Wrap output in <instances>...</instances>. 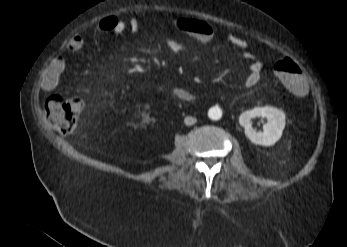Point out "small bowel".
<instances>
[{
  "mask_svg": "<svg viewBox=\"0 0 347 247\" xmlns=\"http://www.w3.org/2000/svg\"><path fill=\"white\" fill-rule=\"evenodd\" d=\"M172 24L175 28L188 34L203 46H210L215 40L213 28L204 20L182 18L174 20ZM139 28L140 22L137 19L121 20L115 16L105 17L98 23V30L100 32L111 33L113 35H119L126 30L136 32ZM227 41L232 47L239 51L241 57L248 61L251 66L250 73L245 79L246 86L252 87L256 85L260 79V60L249 50L248 42L242 36L235 33H228ZM83 46V37L79 34H75L69 39L66 48L70 52H78ZM168 46L173 52L177 53L185 48V43L180 40H170ZM64 70V60L62 58L53 59L42 75L40 83L41 88L46 92L55 90L60 83ZM172 93L184 102H190L194 98L193 92L182 86H174L172 88Z\"/></svg>",
  "mask_w": 347,
  "mask_h": 247,
  "instance_id": "obj_1",
  "label": "small bowel"
}]
</instances>
